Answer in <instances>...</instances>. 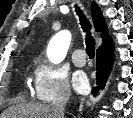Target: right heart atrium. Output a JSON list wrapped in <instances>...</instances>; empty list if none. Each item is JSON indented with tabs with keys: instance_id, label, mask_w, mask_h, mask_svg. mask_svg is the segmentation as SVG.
I'll return each instance as SVG.
<instances>
[{
	"instance_id": "right-heart-atrium-1",
	"label": "right heart atrium",
	"mask_w": 133,
	"mask_h": 118,
	"mask_svg": "<svg viewBox=\"0 0 133 118\" xmlns=\"http://www.w3.org/2000/svg\"><path fill=\"white\" fill-rule=\"evenodd\" d=\"M33 93L36 100L49 103L71 95L67 73L45 60H38L33 74Z\"/></svg>"
}]
</instances>
